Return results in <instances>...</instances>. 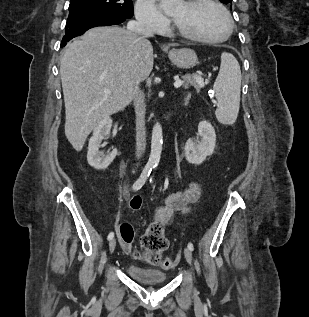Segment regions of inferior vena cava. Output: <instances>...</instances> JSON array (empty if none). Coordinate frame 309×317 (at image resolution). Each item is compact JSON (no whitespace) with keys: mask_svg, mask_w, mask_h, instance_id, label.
Instances as JSON below:
<instances>
[{"mask_svg":"<svg viewBox=\"0 0 309 317\" xmlns=\"http://www.w3.org/2000/svg\"><path fill=\"white\" fill-rule=\"evenodd\" d=\"M127 29L144 36H150L153 34L152 30L144 27L137 21L128 22ZM134 108L136 114V157L140 159L146 149V105L144 93L140 89L136 91L134 96Z\"/></svg>","mask_w":309,"mask_h":317,"instance_id":"obj_1","label":"inferior vena cava"}]
</instances>
